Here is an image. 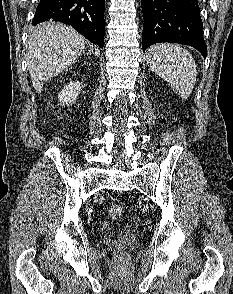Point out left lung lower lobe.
I'll use <instances>...</instances> for the list:
<instances>
[{
    "mask_svg": "<svg viewBox=\"0 0 233 294\" xmlns=\"http://www.w3.org/2000/svg\"><path fill=\"white\" fill-rule=\"evenodd\" d=\"M141 6L144 52L152 44L172 42L192 46L206 57L197 0H141Z\"/></svg>",
    "mask_w": 233,
    "mask_h": 294,
    "instance_id": "left-lung-lower-lobe-1",
    "label": "left lung lower lobe"
}]
</instances>
